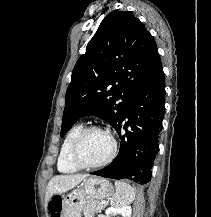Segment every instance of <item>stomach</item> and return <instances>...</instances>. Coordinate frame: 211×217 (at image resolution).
Returning a JSON list of instances; mask_svg holds the SVG:
<instances>
[{
    "mask_svg": "<svg viewBox=\"0 0 211 217\" xmlns=\"http://www.w3.org/2000/svg\"><path fill=\"white\" fill-rule=\"evenodd\" d=\"M112 194L113 186L109 180L89 177L63 198L60 217H81V212L88 199L102 200Z\"/></svg>",
    "mask_w": 211,
    "mask_h": 217,
    "instance_id": "stomach-1",
    "label": "stomach"
}]
</instances>
